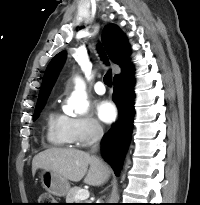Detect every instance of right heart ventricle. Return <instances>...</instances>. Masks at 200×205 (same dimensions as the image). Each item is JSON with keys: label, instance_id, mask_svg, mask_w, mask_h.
Returning a JSON list of instances; mask_svg holds the SVG:
<instances>
[{"label": "right heart ventricle", "instance_id": "obj_1", "mask_svg": "<svg viewBox=\"0 0 200 205\" xmlns=\"http://www.w3.org/2000/svg\"><path fill=\"white\" fill-rule=\"evenodd\" d=\"M47 140L56 146H67L72 142L66 126V116L51 112L47 118Z\"/></svg>", "mask_w": 200, "mask_h": 205}]
</instances>
